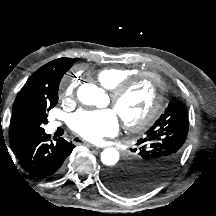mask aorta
I'll use <instances>...</instances> for the list:
<instances>
[{
    "instance_id": "762f6f07",
    "label": "aorta",
    "mask_w": 216,
    "mask_h": 216,
    "mask_svg": "<svg viewBox=\"0 0 216 216\" xmlns=\"http://www.w3.org/2000/svg\"><path fill=\"white\" fill-rule=\"evenodd\" d=\"M79 101L85 105H99L105 97L103 90L93 84H82L77 90ZM101 161L106 166H114L119 161V152L116 148H105L101 153Z\"/></svg>"
}]
</instances>
